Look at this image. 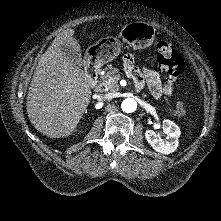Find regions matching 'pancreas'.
Listing matches in <instances>:
<instances>
[{
  "label": "pancreas",
  "instance_id": "1",
  "mask_svg": "<svg viewBox=\"0 0 221 221\" xmlns=\"http://www.w3.org/2000/svg\"><path fill=\"white\" fill-rule=\"evenodd\" d=\"M106 71L105 75L101 76V85L106 89L110 91H115L118 89L117 82L120 79V75L118 74V70L116 68H113L112 65H108L105 69ZM110 78H113V81L109 84L108 80Z\"/></svg>",
  "mask_w": 221,
  "mask_h": 221
}]
</instances>
